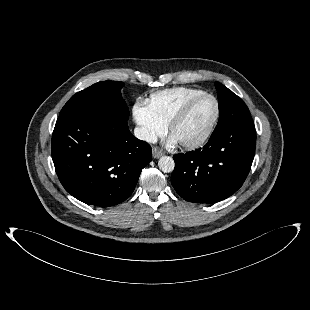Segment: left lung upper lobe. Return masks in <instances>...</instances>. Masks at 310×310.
Listing matches in <instances>:
<instances>
[{
    "instance_id": "left-lung-upper-lobe-1",
    "label": "left lung upper lobe",
    "mask_w": 310,
    "mask_h": 310,
    "mask_svg": "<svg viewBox=\"0 0 310 310\" xmlns=\"http://www.w3.org/2000/svg\"><path fill=\"white\" fill-rule=\"evenodd\" d=\"M215 87L218 93L219 121L214 132L250 116L246 104L240 97L219 82H215Z\"/></svg>"
}]
</instances>
